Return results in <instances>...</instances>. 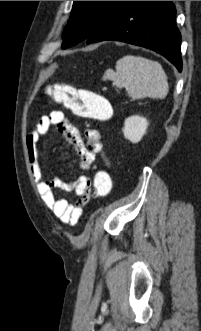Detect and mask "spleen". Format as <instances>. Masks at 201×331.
<instances>
[{"label":"spleen","mask_w":201,"mask_h":331,"mask_svg":"<svg viewBox=\"0 0 201 331\" xmlns=\"http://www.w3.org/2000/svg\"><path fill=\"white\" fill-rule=\"evenodd\" d=\"M103 78L113 81L118 88H127L132 99H163L169 88L161 65L140 56H124L117 61L116 71L106 70Z\"/></svg>","instance_id":"spleen-1"}]
</instances>
